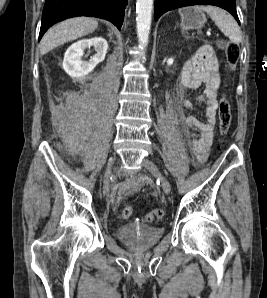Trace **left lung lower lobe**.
I'll return each mask as SVG.
<instances>
[{"mask_svg": "<svg viewBox=\"0 0 267 298\" xmlns=\"http://www.w3.org/2000/svg\"><path fill=\"white\" fill-rule=\"evenodd\" d=\"M196 4H209L219 6L229 11L239 23L235 0H155V20H157L162 14L167 11Z\"/></svg>", "mask_w": 267, "mask_h": 298, "instance_id": "left-lung-lower-lobe-1", "label": "left lung lower lobe"}]
</instances>
